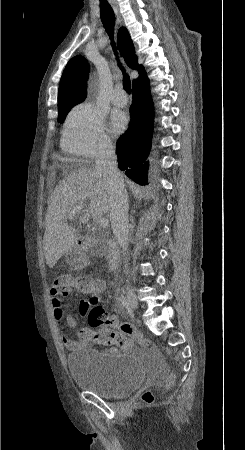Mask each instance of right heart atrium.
<instances>
[{"label":"right heart atrium","instance_id":"d8ad5b80","mask_svg":"<svg viewBox=\"0 0 245 450\" xmlns=\"http://www.w3.org/2000/svg\"><path fill=\"white\" fill-rule=\"evenodd\" d=\"M62 148L75 157L88 159L112 148L104 116L94 105L83 102L68 113L62 132Z\"/></svg>","mask_w":245,"mask_h":450}]
</instances>
